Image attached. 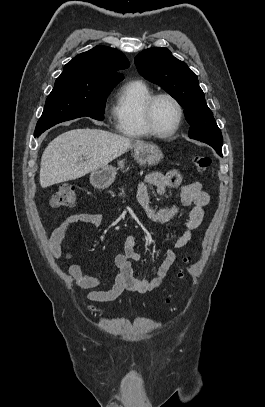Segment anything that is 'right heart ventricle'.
Wrapping results in <instances>:
<instances>
[{
	"mask_svg": "<svg viewBox=\"0 0 265 407\" xmlns=\"http://www.w3.org/2000/svg\"><path fill=\"white\" fill-rule=\"evenodd\" d=\"M153 94L149 85L141 80L129 81L121 87L112 111L115 128L120 134L130 138L151 136L144 123L143 108Z\"/></svg>",
	"mask_w": 265,
	"mask_h": 407,
	"instance_id": "right-heart-ventricle-1",
	"label": "right heart ventricle"
}]
</instances>
